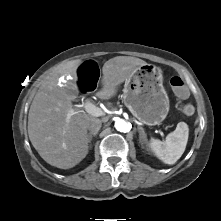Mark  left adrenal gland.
<instances>
[{
  "instance_id": "1",
  "label": "left adrenal gland",
  "mask_w": 221,
  "mask_h": 221,
  "mask_svg": "<svg viewBox=\"0 0 221 221\" xmlns=\"http://www.w3.org/2000/svg\"><path fill=\"white\" fill-rule=\"evenodd\" d=\"M138 131H139V140H140L141 144L143 145V143L147 142L146 133H145L144 129L140 126H138Z\"/></svg>"
}]
</instances>
